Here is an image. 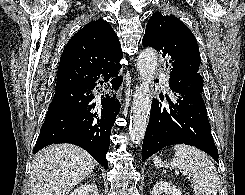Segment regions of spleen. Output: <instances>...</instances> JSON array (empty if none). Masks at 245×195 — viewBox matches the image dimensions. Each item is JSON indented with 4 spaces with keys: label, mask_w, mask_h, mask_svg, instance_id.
Returning <instances> with one entry per match:
<instances>
[{
    "label": "spleen",
    "mask_w": 245,
    "mask_h": 195,
    "mask_svg": "<svg viewBox=\"0 0 245 195\" xmlns=\"http://www.w3.org/2000/svg\"><path fill=\"white\" fill-rule=\"evenodd\" d=\"M173 150L175 155L170 162H162L159 156H155L154 165L179 169L184 175L191 176L195 195H217L220 182L210 158L199 149L185 144L175 145Z\"/></svg>",
    "instance_id": "1"
}]
</instances>
